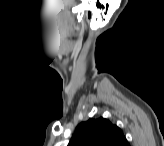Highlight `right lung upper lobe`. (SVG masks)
Returning a JSON list of instances; mask_svg holds the SVG:
<instances>
[{"instance_id":"obj_1","label":"right lung upper lobe","mask_w":164,"mask_h":146,"mask_svg":"<svg viewBox=\"0 0 164 146\" xmlns=\"http://www.w3.org/2000/svg\"><path fill=\"white\" fill-rule=\"evenodd\" d=\"M68 146H129L122 131L100 117L80 123Z\"/></svg>"}]
</instances>
